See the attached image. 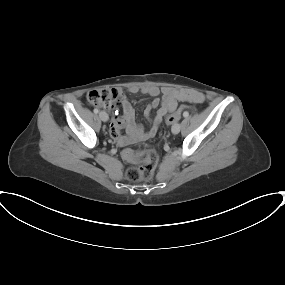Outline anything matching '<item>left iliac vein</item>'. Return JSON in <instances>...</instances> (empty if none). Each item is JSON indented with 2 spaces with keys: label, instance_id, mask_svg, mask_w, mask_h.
Returning <instances> with one entry per match:
<instances>
[{
  "label": "left iliac vein",
  "instance_id": "1",
  "mask_svg": "<svg viewBox=\"0 0 285 285\" xmlns=\"http://www.w3.org/2000/svg\"><path fill=\"white\" fill-rule=\"evenodd\" d=\"M171 131L173 134H178L180 131V124L176 123L172 126Z\"/></svg>",
  "mask_w": 285,
  "mask_h": 285
}]
</instances>
